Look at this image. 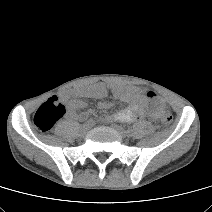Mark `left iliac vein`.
Segmentation results:
<instances>
[{"label":"left iliac vein","instance_id":"1","mask_svg":"<svg viewBox=\"0 0 212 212\" xmlns=\"http://www.w3.org/2000/svg\"><path fill=\"white\" fill-rule=\"evenodd\" d=\"M112 128H113L121 137L125 138V137L128 136L127 131H126L122 126L113 124V125H112Z\"/></svg>","mask_w":212,"mask_h":212}]
</instances>
